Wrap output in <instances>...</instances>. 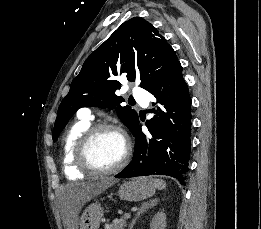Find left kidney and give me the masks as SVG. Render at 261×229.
Returning <instances> with one entry per match:
<instances>
[{
  "label": "left kidney",
  "mask_w": 261,
  "mask_h": 229,
  "mask_svg": "<svg viewBox=\"0 0 261 229\" xmlns=\"http://www.w3.org/2000/svg\"><path fill=\"white\" fill-rule=\"evenodd\" d=\"M166 225V215L161 211V213L154 215L150 223V229H165Z\"/></svg>",
  "instance_id": "1"
}]
</instances>
